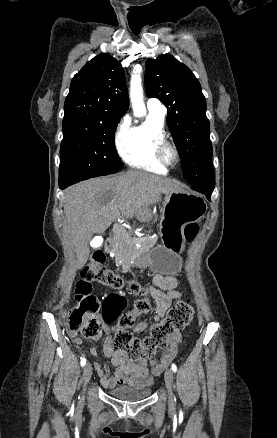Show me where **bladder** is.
Here are the masks:
<instances>
[{"mask_svg":"<svg viewBox=\"0 0 277 438\" xmlns=\"http://www.w3.org/2000/svg\"><path fill=\"white\" fill-rule=\"evenodd\" d=\"M150 388L116 387L109 389V395L116 401L139 402L151 394Z\"/></svg>","mask_w":277,"mask_h":438,"instance_id":"bladder-1","label":"bladder"}]
</instances>
